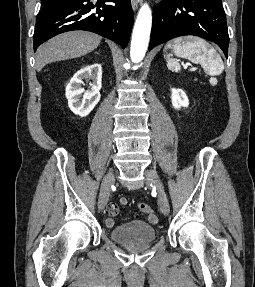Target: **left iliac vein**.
<instances>
[{
  "label": "left iliac vein",
  "instance_id": "4c4485c4",
  "mask_svg": "<svg viewBox=\"0 0 255 287\" xmlns=\"http://www.w3.org/2000/svg\"><path fill=\"white\" fill-rule=\"evenodd\" d=\"M145 178H146V183L148 185H153L157 190L161 212L164 215H168L170 212L169 201H168L167 196L165 194L162 181L159 178L157 172L155 170H152V169H146L145 170Z\"/></svg>",
  "mask_w": 255,
  "mask_h": 287
}]
</instances>
